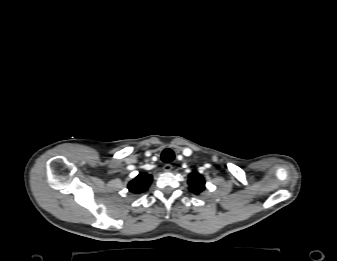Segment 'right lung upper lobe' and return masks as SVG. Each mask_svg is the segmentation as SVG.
<instances>
[{"instance_id":"obj_1","label":"right lung upper lobe","mask_w":337,"mask_h":261,"mask_svg":"<svg viewBox=\"0 0 337 261\" xmlns=\"http://www.w3.org/2000/svg\"><path fill=\"white\" fill-rule=\"evenodd\" d=\"M152 176L140 173L136 178H134L132 181L128 184V189L130 192L135 194L143 193L148 189V186L151 184Z\"/></svg>"}]
</instances>
